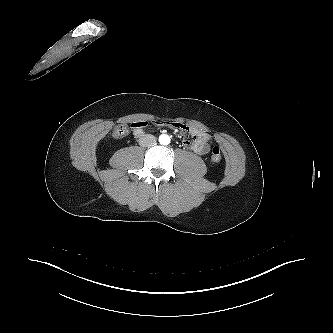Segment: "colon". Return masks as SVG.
Wrapping results in <instances>:
<instances>
[{
    "mask_svg": "<svg viewBox=\"0 0 333 333\" xmlns=\"http://www.w3.org/2000/svg\"><path fill=\"white\" fill-rule=\"evenodd\" d=\"M129 134V128L127 125H120L118 126L115 131L113 132V136L116 139H120V138H124ZM222 156H221V152L220 149L215 146L212 148V152H211V161L214 164H217L221 161Z\"/></svg>",
    "mask_w": 333,
    "mask_h": 333,
    "instance_id": "colon-1",
    "label": "colon"
}]
</instances>
